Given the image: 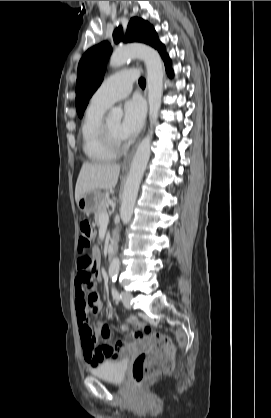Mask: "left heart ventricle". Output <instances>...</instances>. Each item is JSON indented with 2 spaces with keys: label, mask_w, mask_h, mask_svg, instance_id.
I'll return each instance as SVG.
<instances>
[{
  "label": "left heart ventricle",
  "mask_w": 271,
  "mask_h": 418,
  "mask_svg": "<svg viewBox=\"0 0 271 418\" xmlns=\"http://www.w3.org/2000/svg\"><path fill=\"white\" fill-rule=\"evenodd\" d=\"M108 125L115 136L121 137V134H120L121 121L119 119L108 120Z\"/></svg>",
  "instance_id": "1"
}]
</instances>
